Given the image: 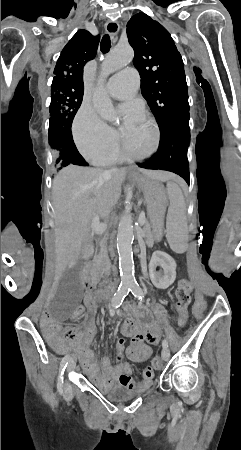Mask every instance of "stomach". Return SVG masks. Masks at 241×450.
<instances>
[{
	"label": "stomach",
	"mask_w": 241,
	"mask_h": 450,
	"mask_svg": "<svg viewBox=\"0 0 241 450\" xmlns=\"http://www.w3.org/2000/svg\"><path fill=\"white\" fill-rule=\"evenodd\" d=\"M133 177L144 193L153 235L156 240H160L163 235L167 205L165 190L158 180L140 175H133Z\"/></svg>",
	"instance_id": "1"
}]
</instances>
